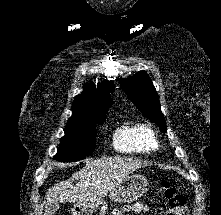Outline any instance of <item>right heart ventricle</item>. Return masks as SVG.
Instances as JSON below:
<instances>
[{"instance_id": "e07e8e85", "label": "right heart ventricle", "mask_w": 221, "mask_h": 215, "mask_svg": "<svg viewBox=\"0 0 221 215\" xmlns=\"http://www.w3.org/2000/svg\"><path fill=\"white\" fill-rule=\"evenodd\" d=\"M114 146L121 152H151L158 143L154 130L147 124H124L114 134Z\"/></svg>"}]
</instances>
